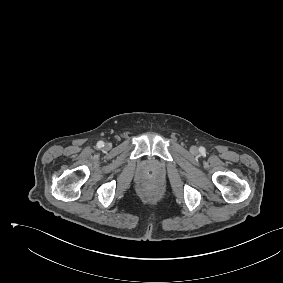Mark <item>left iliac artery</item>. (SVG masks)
<instances>
[{
    "label": "left iliac artery",
    "mask_w": 283,
    "mask_h": 283,
    "mask_svg": "<svg viewBox=\"0 0 283 283\" xmlns=\"http://www.w3.org/2000/svg\"><path fill=\"white\" fill-rule=\"evenodd\" d=\"M199 151H200L201 153H204V152H205V148H204V147H200V148H199Z\"/></svg>",
    "instance_id": "obj_1"
}]
</instances>
